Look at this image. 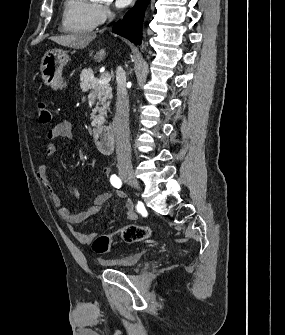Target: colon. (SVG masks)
<instances>
[{
  "label": "colon",
  "mask_w": 285,
  "mask_h": 335,
  "mask_svg": "<svg viewBox=\"0 0 285 335\" xmlns=\"http://www.w3.org/2000/svg\"><path fill=\"white\" fill-rule=\"evenodd\" d=\"M36 112L42 124L50 123L51 111L46 102H38ZM151 234L152 231L148 226L130 224L113 234L101 233L96 235L91 242V247L96 253H107L112 250V241L115 237H119L126 243H136L148 239Z\"/></svg>",
  "instance_id": "5ec220e1"
}]
</instances>
